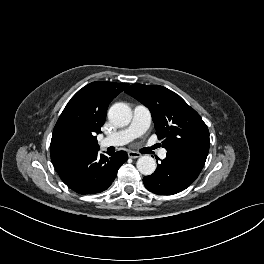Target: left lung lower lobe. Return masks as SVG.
I'll return each mask as SVG.
<instances>
[{
  "instance_id": "obj_1",
  "label": "left lung lower lobe",
  "mask_w": 264,
  "mask_h": 264,
  "mask_svg": "<svg viewBox=\"0 0 264 264\" xmlns=\"http://www.w3.org/2000/svg\"><path fill=\"white\" fill-rule=\"evenodd\" d=\"M204 164L205 161L184 152H167L154 174L144 177L143 182L152 193L173 195L189 187Z\"/></svg>"
}]
</instances>
